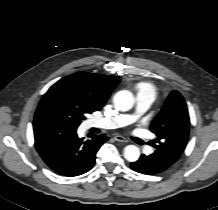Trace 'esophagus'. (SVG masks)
I'll use <instances>...</instances> for the list:
<instances>
[{
  "instance_id": "1",
  "label": "esophagus",
  "mask_w": 218,
  "mask_h": 210,
  "mask_svg": "<svg viewBox=\"0 0 218 210\" xmlns=\"http://www.w3.org/2000/svg\"><path fill=\"white\" fill-rule=\"evenodd\" d=\"M114 139H115L117 142H121V143H127V142H128V140H127L125 137L121 136V135L115 136Z\"/></svg>"
}]
</instances>
